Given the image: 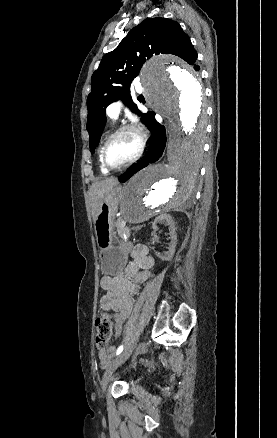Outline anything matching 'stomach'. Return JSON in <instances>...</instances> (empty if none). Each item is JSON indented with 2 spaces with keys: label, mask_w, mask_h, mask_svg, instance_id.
<instances>
[{
  "label": "stomach",
  "mask_w": 277,
  "mask_h": 438,
  "mask_svg": "<svg viewBox=\"0 0 277 438\" xmlns=\"http://www.w3.org/2000/svg\"><path fill=\"white\" fill-rule=\"evenodd\" d=\"M121 199V188L113 187L102 201L94 222L97 244L100 248L101 270L105 275L119 274L127 263V247L118 241L115 216ZM118 242V245L114 244Z\"/></svg>",
  "instance_id": "obj_1"
}]
</instances>
